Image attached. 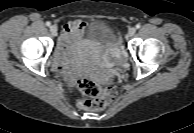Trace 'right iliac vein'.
<instances>
[{
	"label": "right iliac vein",
	"mask_w": 194,
	"mask_h": 133,
	"mask_svg": "<svg viewBox=\"0 0 194 133\" xmlns=\"http://www.w3.org/2000/svg\"><path fill=\"white\" fill-rule=\"evenodd\" d=\"M50 32L53 36H55L57 34V27L55 25H52L50 27Z\"/></svg>",
	"instance_id": "1"
}]
</instances>
